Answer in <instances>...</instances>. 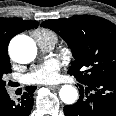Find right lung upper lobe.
<instances>
[{
    "label": "right lung upper lobe",
    "mask_w": 116,
    "mask_h": 116,
    "mask_svg": "<svg viewBox=\"0 0 116 116\" xmlns=\"http://www.w3.org/2000/svg\"><path fill=\"white\" fill-rule=\"evenodd\" d=\"M37 26L38 22L36 21H27L20 18H0V57L8 56V44L15 35Z\"/></svg>",
    "instance_id": "cb5924a9"
}]
</instances>
